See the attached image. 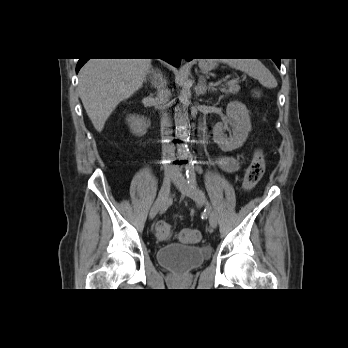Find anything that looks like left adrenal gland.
I'll return each instance as SVG.
<instances>
[{
	"label": "left adrenal gland",
	"instance_id": "a2214340",
	"mask_svg": "<svg viewBox=\"0 0 348 348\" xmlns=\"http://www.w3.org/2000/svg\"><path fill=\"white\" fill-rule=\"evenodd\" d=\"M206 81L207 80L203 75L199 77V82L196 89L197 95H204L207 91L209 92L214 90V87L211 85H207Z\"/></svg>",
	"mask_w": 348,
	"mask_h": 348
}]
</instances>
